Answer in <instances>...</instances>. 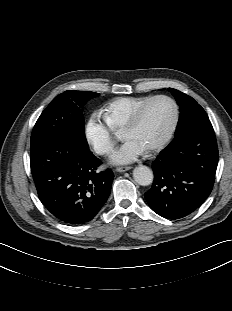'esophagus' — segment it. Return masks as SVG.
Returning a JSON list of instances; mask_svg holds the SVG:
<instances>
[{
    "label": "esophagus",
    "instance_id": "1",
    "mask_svg": "<svg viewBox=\"0 0 232 311\" xmlns=\"http://www.w3.org/2000/svg\"><path fill=\"white\" fill-rule=\"evenodd\" d=\"M130 169H132L131 166H123V167H118V168L116 169V171L122 173V172H126V171H128V170H130Z\"/></svg>",
    "mask_w": 232,
    "mask_h": 311
}]
</instances>
